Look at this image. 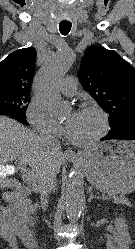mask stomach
Returning a JSON list of instances; mask_svg holds the SVG:
<instances>
[{
  "instance_id": "0dacf381",
  "label": "stomach",
  "mask_w": 135,
  "mask_h": 249,
  "mask_svg": "<svg viewBox=\"0 0 135 249\" xmlns=\"http://www.w3.org/2000/svg\"><path fill=\"white\" fill-rule=\"evenodd\" d=\"M89 182L109 194L135 190V142L108 141L82 154L79 162Z\"/></svg>"
}]
</instances>
